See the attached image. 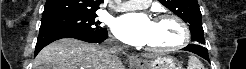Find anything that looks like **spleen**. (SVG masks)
I'll list each match as a JSON object with an SVG mask.
<instances>
[{"instance_id":"obj_1","label":"spleen","mask_w":246,"mask_h":69,"mask_svg":"<svg viewBox=\"0 0 246 69\" xmlns=\"http://www.w3.org/2000/svg\"><path fill=\"white\" fill-rule=\"evenodd\" d=\"M187 69H204V66L197 57L190 55Z\"/></svg>"}]
</instances>
